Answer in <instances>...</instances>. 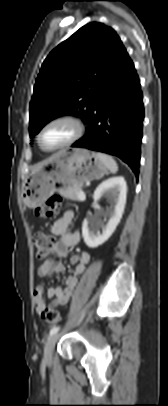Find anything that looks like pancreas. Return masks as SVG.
I'll list each match as a JSON object with an SVG mask.
<instances>
[{
	"label": "pancreas",
	"instance_id": "1",
	"mask_svg": "<svg viewBox=\"0 0 168 406\" xmlns=\"http://www.w3.org/2000/svg\"><path fill=\"white\" fill-rule=\"evenodd\" d=\"M82 185L77 186L74 188H69L66 190H62L60 193L62 196H64L67 199L73 200V201H84L85 199H81L79 197V193L82 191Z\"/></svg>",
	"mask_w": 168,
	"mask_h": 406
}]
</instances>
